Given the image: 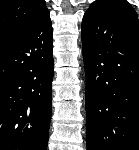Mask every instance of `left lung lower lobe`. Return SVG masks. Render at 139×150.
Here are the masks:
<instances>
[{
	"label": "left lung lower lobe",
	"instance_id": "obj_1",
	"mask_svg": "<svg viewBox=\"0 0 139 150\" xmlns=\"http://www.w3.org/2000/svg\"><path fill=\"white\" fill-rule=\"evenodd\" d=\"M87 150H139V20L125 0H98L82 21Z\"/></svg>",
	"mask_w": 139,
	"mask_h": 150
}]
</instances>
